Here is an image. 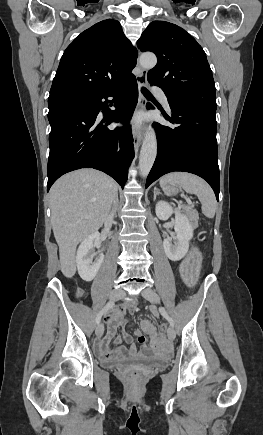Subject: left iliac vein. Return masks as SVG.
<instances>
[{
  "mask_svg": "<svg viewBox=\"0 0 263 435\" xmlns=\"http://www.w3.org/2000/svg\"><path fill=\"white\" fill-rule=\"evenodd\" d=\"M141 295L148 301L152 302V303H159L160 302V298L158 296V294L151 288H146L142 291ZM167 336L169 338V340H174L176 333L175 330L172 326H170L167 330Z\"/></svg>",
  "mask_w": 263,
  "mask_h": 435,
  "instance_id": "left-iliac-vein-1",
  "label": "left iliac vein"
}]
</instances>
